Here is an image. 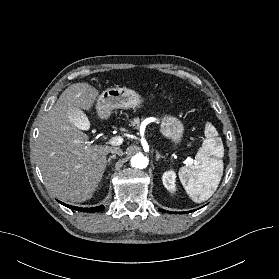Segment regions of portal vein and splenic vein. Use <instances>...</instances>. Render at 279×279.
Wrapping results in <instances>:
<instances>
[{"mask_svg":"<svg viewBox=\"0 0 279 279\" xmlns=\"http://www.w3.org/2000/svg\"><path fill=\"white\" fill-rule=\"evenodd\" d=\"M81 129H84V128H81ZM122 142H123V138L121 136H115V137L110 138L107 143L110 145H113V146H118V145H121ZM187 163L192 164L193 160L191 158H189Z\"/></svg>","mask_w":279,"mask_h":279,"instance_id":"18ae733b","label":"portal vein and splenic vein"}]
</instances>
